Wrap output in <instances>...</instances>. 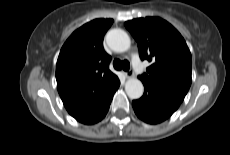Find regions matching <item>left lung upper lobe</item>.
<instances>
[{"instance_id": "5c2ea615", "label": "left lung upper lobe", "mask_w": 230, "mask_h": 155, "mask_svg": "<svg viewBox=\"0 0 230 155\" xmlns=\"http://www.w3.org/2000/svg\"><path fill=\"white\" fill-rule=\"evenodd\" d=\"M138 43L142 60L152 62L142 82L182 102L191 85L192 57L181 34L159 17H146L125 22Z\"/></svg>"}]
</instances>
